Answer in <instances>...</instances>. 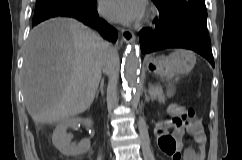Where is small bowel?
<instances>
[{"mask_svg":"<svg viewBox=\"0 0 242 160\" xmlns=\"http://www.w3.org/2000/svg\"><path fill=\"white\" fill-rule=\"evenodd\" d=\"M167 128H158L156 137L161 152L171 160H204L206 138L199 121L193 119L191 112L182 113L175 121H169ZM189 134L197 144L196 148H184L183 138Z\"/></svg>","mask_w":242,"mask_h":160,"instance_id":"small-bowel-1","label":"small bowel"}]
</instances>
